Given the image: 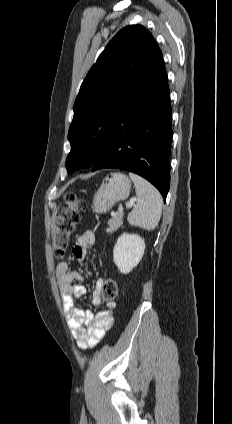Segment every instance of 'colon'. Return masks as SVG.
I'll return each mask as SVG.
<instances>
[{
	"label": "colon",
	"instance_id": "5ec220e1",
	"mask_svg": "<svg viewBox=\"0 0 232 424\" xmlns=\"http://www.w3.org/2000/svg\"><path fill=\"white\" fill-rule=\"evenodd\" d=\"M86 202L74 191H67L64 201L59 205L54 231L53 256L61 259L66 252L69 241L80 219V213L85 209ZM118 295V285L115 279H104L100 297L105 301H113Z\"/></svg>",
	"mask_w": 232,
	"mask_h": 424
}]
</instances>
